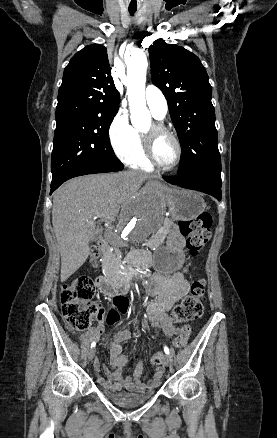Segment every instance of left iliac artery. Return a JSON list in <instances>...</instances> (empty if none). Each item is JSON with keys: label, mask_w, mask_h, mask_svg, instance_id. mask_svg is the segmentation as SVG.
I'll return each instance as SVG.
<instances>
[{"label": "left iliac artery", "mask_w": 277, "mask_h": 438, "mask_svg": "<svg viewBox=\"0 0 277 438\" xmlns=\"http://www.w3.org/2000/svg\"><path fill=\"white\" fill-rule=\"evenodd\" d=\"M164 352H165L167 355L170 354L169 348H168L167 346H164Z\"/></svg>", "instance_id": "44dca946"}]
</instances>
